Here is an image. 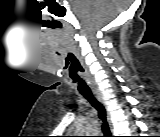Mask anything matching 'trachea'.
I'll list each match as a JSON object with an SVG mask.
<instances>
[{
	"label": "trachea",
	"instance_id": "1",
	"mask_svg": "<svg viewBox=\"0 0 160 137\" xmlns=\"http://www.w3.org/2000/svg\"><path fill=\"white\" fill-rule=\"evenodd\" d=\"M71 69L73 74L71 78L75 84L78 85L80 93L91 103V105L98 111L99 118L102 120V132L104 136L102 137H112L109 126L106 122V112L104 106L94 97L91 91H82L81 88L87 87L84 79L79 75L78 72H83L79 61L72 55Z\"/></svg>",
	"mask_w": 160,
	"mask_h": 137
}]
</instances>
